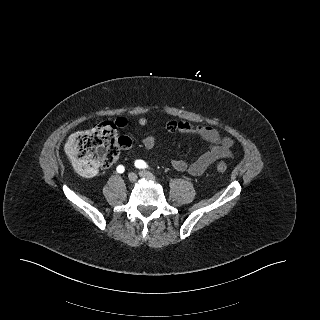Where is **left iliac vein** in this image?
I'll list each match as a JSON object with an SVG mask.
<instances>
[{
  "label": "left iliac vein",
  "instance_id": "1",
  "mask_svg": "<svg viewBox=\"0 0 320 320\" xmlns=\"http://www.w3.org/2000/svg\"><path fill=\"white\" fill-rule=\"evenodd\" d=\"M139 176L143 177V178H145L147 180H152V181L156 180L155 176L152 173H150L149 171H146V170H141L139 172Z\"/></svg>",
  "mask_w": 320,
  "mask_h": 320
}]
</instances>
